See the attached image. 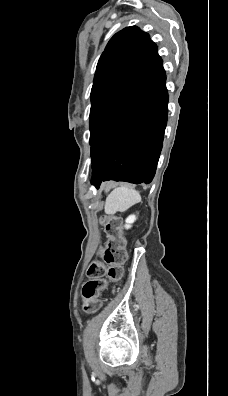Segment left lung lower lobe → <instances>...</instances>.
<instances>
[{"label":"left lung lower lobe","mask_w":228,"mask_h":396,"mask_svg":"<svg viewBox=\"0 0 228 396\" xmlns=\"http://www.w3.org/2000/svg\"><path fill=\"white\" fill-rule=\"evenodd\" d=\"M166 75L157 47L139 79L113 106L92 145L91 183H150L167 124Z\"/></svg>","instance_id":"left-lung-lower-lobe-1"}]
</instances>
